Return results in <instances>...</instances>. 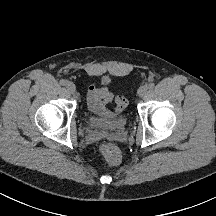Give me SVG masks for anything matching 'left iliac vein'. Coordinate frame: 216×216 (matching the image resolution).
Returning a JSON list of instances; mask_svg holds the SVG:
<instances>
[{"mask_svg": "<svg viewBox=\"0 0 216 216\" xmlns=\"http://www.w3.org/2000/svg\"><path fill=\"white\" fill-rule=\"evenodd\" d=\"M147 91H148V87L146 85H143L138 89V95L140 97H143L147 93Z\"/></svg>", "mask_w": 216, "mask_h": 216, "instance_id": "1", "label": "left iliac vein"}]
</instances>
